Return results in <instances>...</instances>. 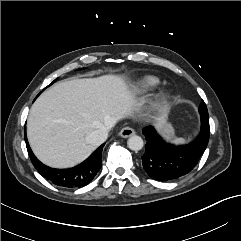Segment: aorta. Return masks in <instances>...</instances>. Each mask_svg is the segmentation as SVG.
Returning a JSON list of instances; mask_svg holds the SVG:
<instances>
[{
	"instance_id": "762f6f07",
	"label": "aorta",
	"mask_w": 241,
	"mask_h": 241,
	"mask_svg": "<svg viewBox=\"0 0 241 241\" xmlns=\"http://www.w3.org/2000/svg\"><path fill=\"white\" fill-rule=\"evenodd\" d=\"M128 148L133 151H139L143 148V139L138 135L131 136L127 141Z\"/></svg>"
}]
</instances>
